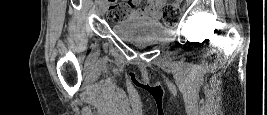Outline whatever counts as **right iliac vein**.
<instances>
[{
	"label": "right iliac vein",
	"instance_id": "63e3f726",
	"mask_svg": "<svg viewBox=\"0 0 267 115\" xmlns=\"http://www.w3.org/2000/svg\"><path fill=\"white\" fill-rule=\"evenodd\" d=\"M107 10V6L102 2L100 5V15H104Z\"/></svg>",
	"mask_w": 267,
	"mask_h": 115
}]
</instances>
